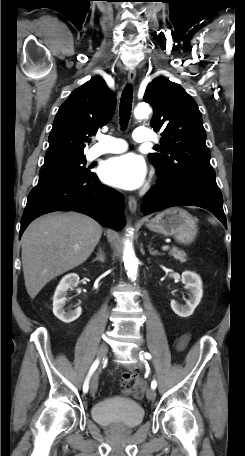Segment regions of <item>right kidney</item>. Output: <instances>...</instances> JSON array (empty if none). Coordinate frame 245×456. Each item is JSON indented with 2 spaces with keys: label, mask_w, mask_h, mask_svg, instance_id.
Here are the masks:
<instances>
[{
  "label": "right kidney",
  "mask_w": 245,
  "mask_h": 456,
  "mask_svg": "<svg viewBox=\"0 0 245 456\" xmlns=\"http://www.w3.org/2000/svg\"><path fill=\"white\" fill-rule=\"evenodd\" d=\"M79 283V276L76 273L65 275L58 284L53 297V313L64 323L75 321L82 313L81 307L73 311H65L66 295L69 288Z\"/></svg>",
  "instance_id": "right-kidney-1"
}]
</instances>
